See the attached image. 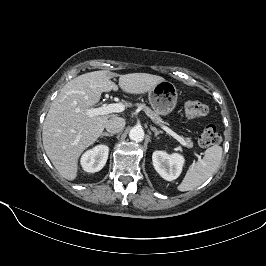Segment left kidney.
I'll return each instance as SVG.
<instances>
[{"mask_svg":"<svg viewBox=\"0 0 266 266\" xmlns=\"http://www.w3.org/2000/svg\"><path fill=\"white\" fill-rule=\"evenodd\" d=\"M152 161L158 174L165 180L172 181L181 174L185 159L178 153L169 155L164 151H155Z\"/></svg>","mask_w":266,"mask_h":266,"instance_id":"obj_1","label":"left kidney"}]
</instances>
